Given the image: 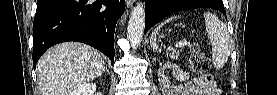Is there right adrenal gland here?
<instances>
[{
  "instance_id": "right-adrenal-gland-1",
  "label": "right adrenal gland",
  "mask_w": 277,
  "mask_h": 95,
  "mask_svg": "<svg viewBox=\"0 0 277 95\" xmlns=\"http://www.w3.org/2000/svg\"><path fill=\"white\" fill-rule=\"evenodd\" d=\"M105 71L108 73L109 71H108V69H107V67L105 68Z\"/></svg>"
}]
</instances>
